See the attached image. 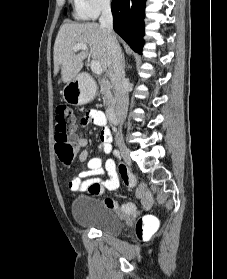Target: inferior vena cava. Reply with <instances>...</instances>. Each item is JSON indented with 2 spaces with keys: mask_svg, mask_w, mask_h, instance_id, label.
Wrapping results in <instances>:
<instances>
[{
  "mask_svg": "<svg viewBox=\"0 0 227 279\" xmlns=\"http://www.w3.org/2000/svg\"><path fill=\"white\" fill-rule=\"evenodd\" d=\"M99 22L107 33L109 77L115 89L116 116L118 124L121 126L126 118L128 110L129 83L125 78L121 49L113 33V17L109 0H104L102 4V14L99 18Z\"/></svg>",
  "mask_w": 227,
  "mask_h": 279,
  "instance_id": "1",
  "label": "inferior vena cava"
}]
</instances>
